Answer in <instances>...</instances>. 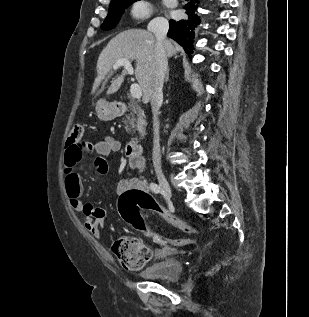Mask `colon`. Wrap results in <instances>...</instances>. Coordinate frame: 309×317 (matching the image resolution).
<instances>
[{"mask_svg": "<svg viewBox=\"0 0 309 317\" xmlns=\"http://www.w3.org/2000/svg\"><path fill=\"white\" fill-rule=\"evenodd\" d=\"M84 126L75 124L71 128L68 138V146L65 155L67 164H73L82 159L85 155L84 149L90 150L88 143L82 142ZM86 147V148H85ZM119 212L121 217L135 228L144 231L156 243L163 245L165 248L189 246L194 243L192 239H167L162 238L151 232L144 224L141 217V210H151L164 217L171 225L191 234L198 233L197 229L176 216L168 213L161 208L155 199L148 193L138 189H131L120 195ZM112 251L117 257L120 265L130 271L142 269L150 258L151 252L148 246L140 239L124 235L117 238L113 245Z\"/></svg>", "mask_w": 309, "mask_h": 317, "instance_id": "5ec220e1", "label": "colon"}]
</instances>
